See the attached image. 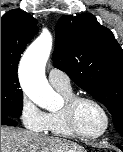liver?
Here are the masks:
<instances>
[{
    "label": "liver",
    "mask_w": 123,
    "mask_h": 152,
    "mask_svg": "<svg viewBox=\"0 0 123 152\" xmlns=\"http://www.w3.org/2000/svg\"><path fill=\"white\" fill-rule=\"evenodd\" d=\"M1 152H86L66 139L1 126Z\"/></svg>",
    "instance_id": "1"
}]
</instances>
